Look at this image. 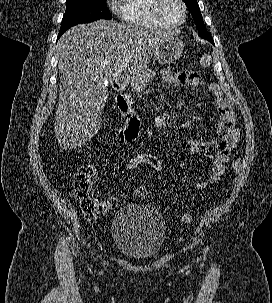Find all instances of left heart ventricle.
I'll return each mask as SVG.
<instances>
[{"instance_id": "left-heart-ventricle-1", "label": "left heart ventricle", "mask_w": 272, "mask_h": 303, "mask_svg": "<svg viewBox=\"0 0 272 303\" xmlns=\"http://www.w3.org/2000/svg\"><path fill=\"white\" fill-rule=\"evenodd\" d=\"M161 14L167 23L175 24L182 17V9L177 0H164L161 7Z\"/></svg>"}]
</instances>
